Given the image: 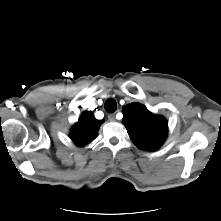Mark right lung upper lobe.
I'll return each instance as SVG.
<instances>
[{"mask_svg": "<svg viewBox=\"0 0 221 221\" xmlns=\"http://www.w3.org/2000/svg\"><path fill=\"white\" fill-rule=\"evenodd\" d=\"M102 122V120H97L92 112H84L79 121L72 127L70 138L78 146H84L97 137Z\"/></svg>", "mask_w": 221, "mask_h": 221, "instance_id": "obj_1", "label": "right lung upper lobe"}]
</instances>
